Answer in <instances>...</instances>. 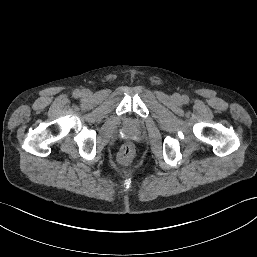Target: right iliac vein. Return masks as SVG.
Masks as SVG:
<instances>
[{
    "label": "right iliac vein",
    "instance_id": "1",
    "mask_svg": "<svg viewBox=\"0 0 257 257\" xmlns=\"http://www.w3.org/2000/svg\"><path fill=\"white\" fill-rule=\"evenodd\" d=\"M84 94L86 95V94H87V91H85Z\"/></svg>",
    "mask_w": 257,
    "mask_h": 257
}]
</instances>
